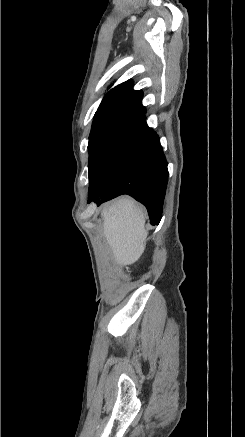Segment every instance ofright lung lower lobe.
<instances>
[{
	"mask_svg": "<svg viewBox=\"0 0 245 437\" xmlns=\"http://www.w3.org/2000/svg\"><path fill=\"white\" fill-rule=\"evenodd\" d=\"M89 181L88 203L100 205L128 194L145 205L152 225L159 224L168 170L159 137L146 117L114 144Z\"/></svg>",
	"mask_w": 245,
	"mask_h": 437,
	"instance_id": "98d812e1",
	"label": "right lung lower lobe"
}]
</instances>
